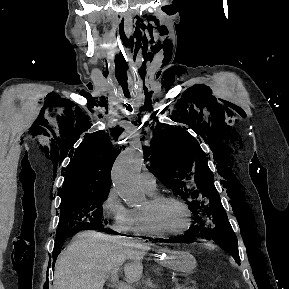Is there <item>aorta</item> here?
I'll return each mask as SVG.
<instances>
[{
  "instance_id": "aorta-1",
  "label": "aorta",
  "mask_w": 289,
  "mask_h": 289,
  "mask_svg": "<svg viewBox=\"0 0 289 289\" xmlns=\"http://www.w3.org/2000/svg\"><path fill=\"white\" fill-rule=\"evenodd\" d=\"M143 150L139 141H133L116 159L112 168V183L128 206L138 207L145 201L138 176L143 164Z\"/></svg>"
}]
</instances>
